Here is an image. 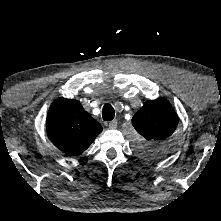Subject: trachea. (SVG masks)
<instances>
[{
    "label": "trachea",
    "instance_id": "obj_1",
    "mask_svg": "<svg viewBox=\"0 0 221 221\" xmlns=\"http://www.w3.org/2000/svg\"><path fill=\"white\" fill-rule=\"evenodd\" d=\"M115 116V110L109 103L105 104L102 109V117L104 121H111Z\"/></svg>",
    "mask_w": 221,
    "mask_h": 221
}]
</instances>
